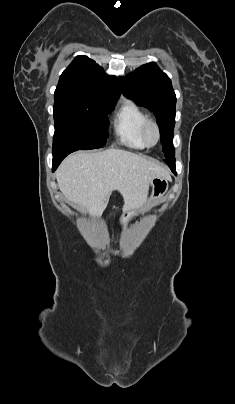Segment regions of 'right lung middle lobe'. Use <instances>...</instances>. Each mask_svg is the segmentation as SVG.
Wrapping results in <instances>:
<instances>
[{"label": "right lung middle lobe", "mask_w": 235, "mask_h": 404, "mask_svg": "<svg viewBox=\"0 0 235 404\" xmlns=\"http://www.w3.org/2000/svg\"><path fill=\"white\" fill-rule=\"evenodd\" d=\"M115 103L55 94L53 152L103 147L108 137L107 114Z\"/></svg>", "instance_id": "right-lung-middle-lobe-1"}]
</instances>
